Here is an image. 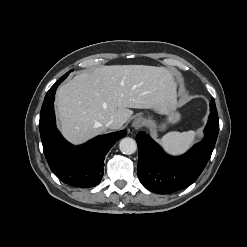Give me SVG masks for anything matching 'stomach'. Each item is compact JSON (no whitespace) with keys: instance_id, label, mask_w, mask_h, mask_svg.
<instances>
[{"instance_id":"0dacf381","label":"stomach","mask_w":247,"mask_h":247,"mask_svg":"<svg viewBox=\"0 0 247 247\" xmlns=\"http://www.w3.org/2000/svg\"><path fill=\"white\" fill-rule=\"evenodd\" d=\"M162 113L166 115V121L158 125L159 130H164L168 124L177 123L181 117L176 111V103L167 105Z\"/></svg>"}]
</instances>
